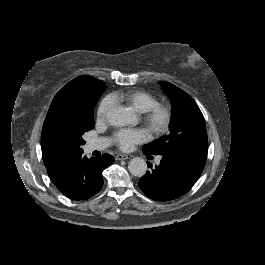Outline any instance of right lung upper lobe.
I'll list each match as a JSON object with an SVG mask.
<instances>
[{"label": "right lung upper lobe", "mask_w": 265, "mask_h": 265, "mask_svg": "<svg viewBox=\"0 0 265 265\" xmlns=\"http://www.w3.org/2000/svg\"><path fill=\"white\" fill-rule=\"evenodd\" d=\"M91 76H79L69 83H67L58 93L55 95L47 116L45 118L42 134H41V149L44 165L47 169L48 174L52 173L55 169L70 161L71 159L63 158L59 156L49 144V134L54 122V119L60 109L62 108L68 95L75 89L86 86L89 84L100 82Z\"/></svg>", "instance_id": "obj_1"}]
</instances>
